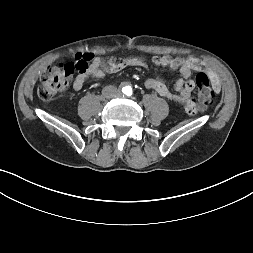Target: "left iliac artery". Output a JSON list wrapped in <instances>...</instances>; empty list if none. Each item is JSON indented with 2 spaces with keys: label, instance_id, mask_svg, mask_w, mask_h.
<instances>
[{
  "label": "left iliac artery",
  "instance_id": "44dca946",
  "mask_svg": "<svg viewBox=\"0 0 253 253\" xmlns=\"http://www.w3.org/2000/svg\"><path fill=\"white\" fill-rule=\"evenodd\" d=\"M125 94H126L127 96L132 95V89H131L130 87L126 88Z\"/></svg>",
  "mask_w": 253,
  "mask_h": 253
}]
</instances>
